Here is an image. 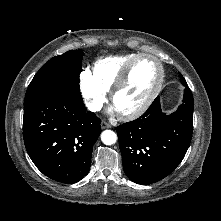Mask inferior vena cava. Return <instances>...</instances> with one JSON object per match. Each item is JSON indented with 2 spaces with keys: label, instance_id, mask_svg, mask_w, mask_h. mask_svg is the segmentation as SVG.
<instances>
[{
  "label": "inferior vena cava",
  "instance_id": "inferior-vena-cava-1",
  "mask_svg": "<svg viewBox=\"0 0 221 221\" xmlns=\"http://www.w3.org/2000/svg\"><path fill=\"white\" fill-rule=\"evenodd\" d=\"M88 109L90 111H93V112H96V111H100L101 108H102V105L101 104H98V103H89L87 105Z\"/></svg>",
  "mask_w": 221,
  "mask_h": 221
}]
</instances>
